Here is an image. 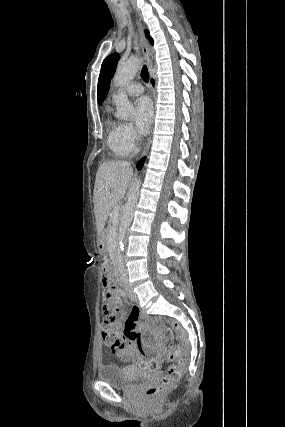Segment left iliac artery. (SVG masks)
<instances>
[{
  "instance_id": "left-iliac-artery-1",
  "label": "left iliac artery",
  "mask_w": 285,
  "mask_h": 427,
  "mask_svg": "<svg viewBox=\"0 0 285 427\" xmlns=\"http://www.w3.org/2000/svg\"><path fill=\"white\" fill-rule=\"evenodd\" d=\"M121 274H122V281H123L124 283H127V278H126V276L124 275L123 271H121Z\"/></svg>"
}]
</instances>
